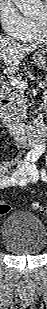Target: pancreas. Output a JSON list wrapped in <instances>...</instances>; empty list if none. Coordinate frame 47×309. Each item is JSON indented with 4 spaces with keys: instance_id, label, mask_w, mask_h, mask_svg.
Masks as SVG:
<instances>
[{
    "instance_id": "1",
    "label": "pancreas",
    "mask_w": 47,
    "mask_h": 309,
    "mask_svg": "<svg viewBox=\"0 0 47 309\" xmlns=\"http://www.w3.org/2000/svg\"><path fill=\"white\" fill-rule=\"evenodd\" d=\"M20 94H23L24 93V89H17ZM15 115H16V118L19 120V121H22V120H26V108H22V109H18L16 112H15Z\"/></svg>"
}]
</instances>
